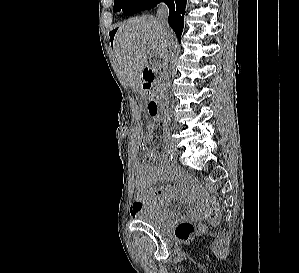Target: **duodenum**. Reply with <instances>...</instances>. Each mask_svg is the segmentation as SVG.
Listing matches in <instances>:
<instances>
[{
  "label": "duodenum",
  "instance_id": "410a0bca",
  "mask_svg": "<svg viewBox=\"0 0 299 273\" xmlns=\"http://www.w3.org/2000/svg\"><path fill=\"white\" fill-rule=\"evenodd\" d=\"M154 80V71L149 67L143 68L140 73V81L142 86V92L146 99L148 113L152 117L156 118L158 121H161L162 113L160 109L159 99L157 98L153 90Z\"/></svg>",
  "mask_w": 299,
  "mask_h": 273
}]
</instances>
